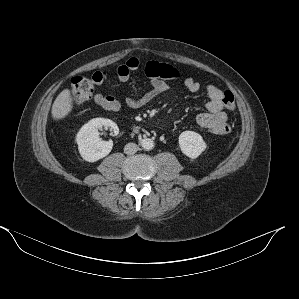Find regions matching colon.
<instances>
[{
  "label": "colon",
  "mask_w": 299,
  "mask_h": 299,
  "mask_svg": "<svg viewBox=\"0 0 299 299\" xmlns=\"http://www.w3.org/2000/svg\"><path fill=\"white\" fill-rule=\"evenodd\" d=\"M101 81V73H95L92 76L73 77L70 86L71 104L75 107H79L86 103L91 98L95 88ZM223 104L228 111H233L235 109V97L230 91L224 93Z\"/></svg>",
  "instance_id": "1"
}]
</instances>
